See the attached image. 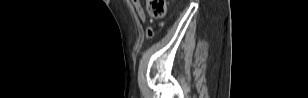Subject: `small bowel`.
<instances>
[{"label": "small bowel", "mask_w": 308, "mask_h": 98, "mask_svg": "<svg viewBox=\"0 0 308 98\" xmlns=\"http://www.w3.org/2000/svg\"><path fill=\"white\" fill-rule=\"evenodd\" d=\"M132 3H133V6H134L140 20L142 22H145L146 21V14H145V11L142 7L140 0H133ZM149 31H150V29L148 30V34H149ZM151 31H152V29H151ZM152 33H153V31H152Z\"/></svg>", "instance_id": "small-bowel-1"}]
</instances>
